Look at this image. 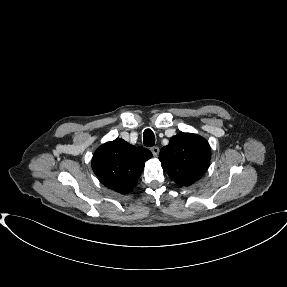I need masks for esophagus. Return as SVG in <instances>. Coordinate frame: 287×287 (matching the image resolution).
<instances>
[{"mask_svg":"<svg viewBox=\"0 0 287 287\" xmlns=\"http://www.w3.org/2000/svg\"><path fill=\"white\" fill-rule=\"evenodd\" d=\"M151 152H152V154H153V156H158V154H159V148L158 147H152L151 148Z\"/></svg>","mask_w":287,"mask_h":287,"instance_id":"esophagus-1","label":"esophagus"}]
</instances>
